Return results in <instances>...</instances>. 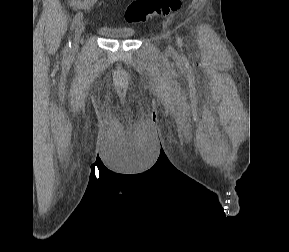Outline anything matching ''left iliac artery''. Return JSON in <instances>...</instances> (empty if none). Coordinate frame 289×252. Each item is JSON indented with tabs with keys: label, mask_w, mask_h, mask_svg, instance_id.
<instances>
[{
	"label": "left iliac artery",
	"mask_w": 289,
	"mask_h": 252,
	"mask_svg": "<svg viewBox=\"0 0 289 252\" xmlns=\"http://www.w3.org/2000/svg\"><path fill=\"white\" fill-rule=\"evenodd\" d=\"M176 38H177V42H178V44H181V43H182L181 38H180L179 36H177Z\"/></svg>",
	"instance_id": "obj_1"
}]
</instances>
